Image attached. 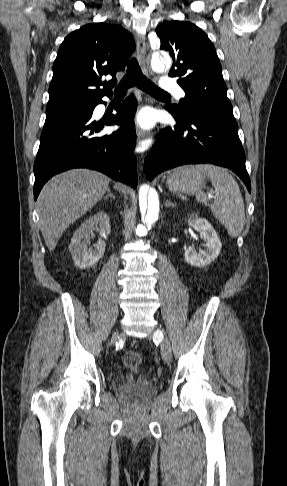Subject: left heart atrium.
Masks as SVG:
<instances>
[{"instance_id": "39dd6f15", "label": "left heart atrium", "mask_w": 287, "mask_h": 486, "mask_svg": "<svg viewBox=\"0 0 287 486\" xmlns=\"http://www.w3.org/2000/svg\"><path fill=\"white\" fill-rule=\"evenodd\" d=\"M137 120H138L139 124L144 126V127L151 126L152 122H153L152 115L148 112L140 113Z\"/></svg>"}]
</instances>
